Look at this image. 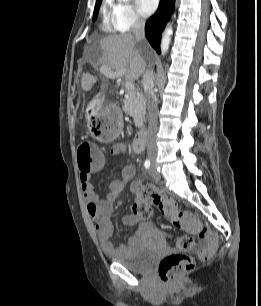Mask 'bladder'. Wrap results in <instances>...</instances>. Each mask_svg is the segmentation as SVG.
Here are the masks:
<instances>
[{"instance_id": "31cf9c89", "label": "bladder", "mask_w": 261, "mask_h": 306, "mask_svg": "<svg viewBox=\"0 0 261 306\" xmlns=\"http://www.w3.org/2000/svg\"><path fill=\"white\" fill-rule=\"evenodd\" d=\"M149 239L154 242L147 244L141 236H138L127 255H108L113 261L132 272L144 273L154 264L158 254L163 250V234L158 230H149Z\"/></svg>"}]
</instances>
